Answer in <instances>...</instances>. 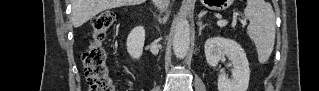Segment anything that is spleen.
I'll return each instance as SVG.
<instances>
[{
	"instance_id": "spleen-1",
	"label": "spleen",
	"mask_w": 319,
	"mask_h": 91,
	"mask_svg": "<svg viewBox=\"0 0 319 91\" xmlns=\"http://www.w3.org/2000/svg\"><path fill=\"white\" fill-rule=\"evenodd\" d=\"M244 14L250 22L247 34L255 43L259 63L264 64L271 56L275 42L273 8L264 0H248Z\"/></svg>"
}]
</instances>
